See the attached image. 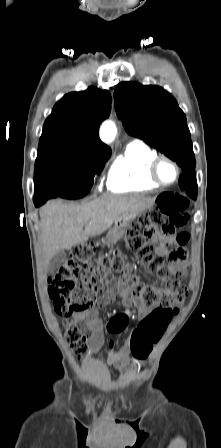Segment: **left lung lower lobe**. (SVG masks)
I'll return each instance as SVG.
<instances>
[{"label":"left lung lower lobe","instance_id":"0a47b994","mask_svg":"<svg viewBox=\"0 0 221 448\" xmlns=\"http://www.w3.org/2000/svg\"><path fill=\"white\" fill-rule=\"evenodd\" d=\"M179 186L186 191L189 197L196 200L197 198V181L196 174L193 171L183 173L179 178Z\"/></svg>","mask_w":221,"mask_h":448}]
</instances>
